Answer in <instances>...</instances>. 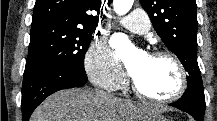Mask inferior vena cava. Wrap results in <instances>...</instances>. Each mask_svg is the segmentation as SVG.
I'll list each match as a JSON object with an SVG mask.
<instances>
[{"mask_svg": "<svg viewBox=\"0 0 217 121\" xmlns=\"http://www.w3.org/2000/svg\"><path fill=\"white\" fill-rule=\"evenodd\" d=\"M95 93L98 96H105V97L112 96V95H109V94H107V93H105V92H103L101 90H97V89L95 90Z\"/></svg>", "mask_w": 217, "mask_h": 121, "instance_id": "inferior-vena-cava-1", "label": "inferior vena cava"}]
</instances>
